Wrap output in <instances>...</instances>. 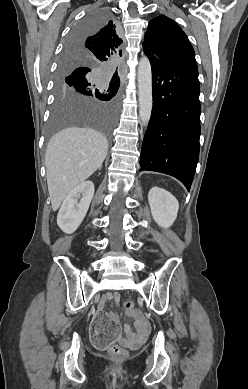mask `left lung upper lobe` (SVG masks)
Instances as JSON below:
<instances>
[{
  "label": "left lung upper lobe",
  "instance_id": "1",
  "mask_svg": "<svg viewBox=\"0 0 248 389\" xmlns=\"http://www.w3.org/2000/svg\"><path fill=\"white\" fill-rule=\"evenodd\" d=\"M144 51L159 59L168 60L181 57H194L195 53L186 34L177 23L160 15L149 22L143 42Z\"/></svg>",
  "mask_w": 248,
  "mask_h": 389
}]
</instances>
